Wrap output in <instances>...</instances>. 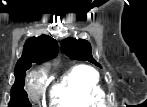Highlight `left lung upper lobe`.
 <instances>
[{
    "mask_svg": "<svg viewBox=\"0 0 147 107\" xmlns=\"http://www.w3.org/2000/svg\"><path fill=\"white\" fill-rule=\"evenodd\" d=\"M62 51L73 60H84L101 67L91 55L90 43L84 39L66 38L61 41Z\"/></svg>",
    "mask_w": 147,
    "mask_h": 107,
    "instance_id": "5c2ea615",
    "label": "left lung upper lobe"
}]
</instances>
